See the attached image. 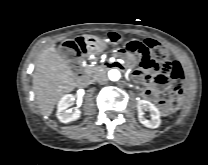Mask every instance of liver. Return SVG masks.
I'll return each mask as SVG.
<instances>
[{
  "mask_svg": "<svg viewBox=\"0 0 208 165\" xmlns=\"http://www.w3.org/2000/svg\"><path fill=\"white\" fill-rule=\"evenodd\" d=\"M35 99L41 113L50 116L56 103L77 86L74 74L54 45L39 55L33 73Z\"/></svg>",
  "mask_w": 208,
  "mask_h": 165,
  "instance_id": "obj_1",
  "label": "liver"
}]
</instances>
